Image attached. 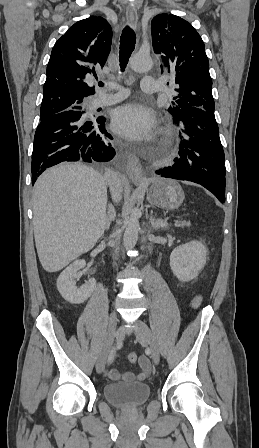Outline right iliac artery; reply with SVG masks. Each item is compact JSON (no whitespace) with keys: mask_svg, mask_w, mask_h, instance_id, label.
Listing matches in <instances>:
<instances>
[{"mask_svg":"<svg viewBox=\"0 0 259 448\" xmlns=\"http://www.w3.org/2000/svg\"><path fill=\"white\" fill-rule=\"evenodd\" d=\"M115 355H116V348L113 347V348L111 349V351H110V353H109V356H108V359H107V363H108V364H111V363L113 362V360H114V358H115Z\"/></svg>","mask_w":259,"mask_h":448,"instance_id":"obj_1","label":"right iliac artery"}]
</instances>
